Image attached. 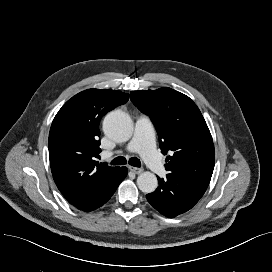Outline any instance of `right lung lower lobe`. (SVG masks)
<instances>
[{
  "label": "right lung lower lobe",
  "instance_id": "1",
  "mask_svg": "<svg viewBox=\"0 0 272 272\" xmlns=\"http://www.w3.org/2000/svg\"><path fill=\"white\" fill-rule=\"evenodd\" d=\"M126 175H127V168L121 167L120 173L116 176V178L106 188H104L98 195H96L94 198H92L91 200L85 203L74 205V206L85 212H90L99 208L111 198V196L114 194L119 184L125 179Z\"/></svg>",
  "mask_w": 272,
  "mask_h": 272
}]
</instances>
